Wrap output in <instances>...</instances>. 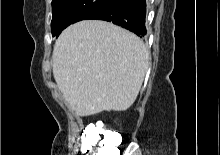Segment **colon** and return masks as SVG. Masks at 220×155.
I'll list each match as a JSON object with an SVG mask.
<instances>
[{
  "label": "colon",
  "instance_id": "1",
  "mask_svg": "<svg viewBox=\"0 0 220 155\" xmlns=\"http://www.w3.org/2000/svg\"><path fill=\"white\" fill-rule=\"evenodd\" d=\"M82 140L83 143H86L82 149L83 155H114L115 146L111 142L110 135L106 133L92 129L85 134Z\"/></svg>",
  "mask_w": 220,
  "mask_h": 155
}]
</instances>
